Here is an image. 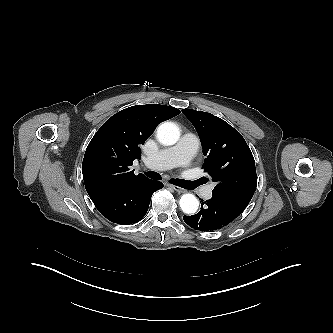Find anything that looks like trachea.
<instances>
[{"label": "trachea", "mask_w": 333, "mask_h": 333, "mask_svg": "<svg viewBox=\"0 0 333 333\" xmlns=\"http://www.w3.org/2000/svg\"><path fill=\"white\" fill-rule=\"evenodd\" d=\"M147 177L154 179V180H161V175L157 172L154 171H148L145 173ZM170 183L185 188V189H194L196 188L198 185H200V183L198 181H186V180H182V179H171Z\"/></svg>", "instance_id": "trachea-1"}]
</instances>
